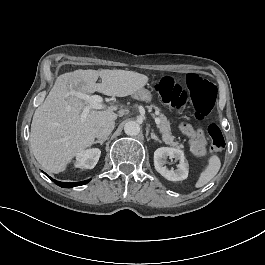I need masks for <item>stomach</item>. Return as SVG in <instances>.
Returning <instances> with one entry per match:
<instances>
[{
    "instance_id": "1",
    "label": "stomach",
    "mask_w": 265,
    "mask_h": 265,
    "mask_svg": "<svg viewBox=\"0 0 265 265\" xmlns=\"http://www.w3.org/2000/svg\"><path fill=\"white\" fill-rule=\"evenodd\" d=\"M132 97L137 100L145 101V102H150L151 101V93L149 90L141 88L137 91H135L132 94Z\"/></svg>"
}]
</instances>
